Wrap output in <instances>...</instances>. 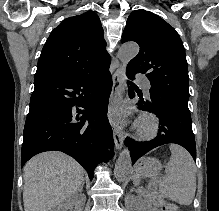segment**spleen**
I'll return each instance as SVG.
<instances>
[{
	"mask_svg": "<svg viewBox=\"0 0 219 211\" xmlns=\"http://www.w3.org/2000/svg\"><path fill=\"white\" fill-rule=\"evenodd\" d=\"M170 159L165 165L166 175L160 181L159 191L162 197H169L172 201L190 205L196 191L195 163L189 151L172 143L170 145ZM134 183H138L139 175H133Z\"/></svg>",
	"mask_w": 219,
	"mask_h": 211,
	"instance_id": "1",
	"label": "spleen"
}]
</instances>
